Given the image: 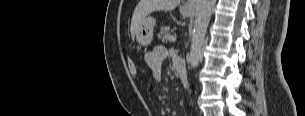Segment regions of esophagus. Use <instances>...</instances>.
<instances>
[{"instance_id": "34e87169", "label": "esophagus", "mask_w": 305, "mask_h": 116, "mask_svg": "<svg viewBox=\"0 0 305 116\" xmlns=\"http://www.w3.org/2000/svg\"><path fill=\"white\" fill-rule=\"evenodd\" d=\"M195 6H196V0H188L185 4H184V7L186 9H189V10H194L195 9Z\"/></svg>"}]
</instances>
